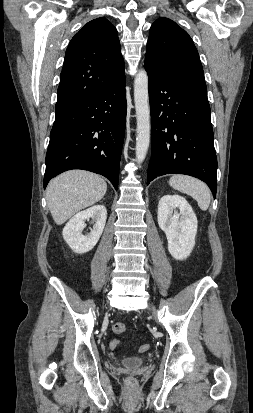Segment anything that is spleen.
I'll return each instance as SVG.
<instances>
[{"mask_svg": "<svg viewBox=\"0 0 253 413\" xmlns=\"http://www.w3.org/2000/svg\"><path fill=\"white\" fill-rule=\"evenodd\" d=\"M169 184L175 190L193 197L201 210L206 211L209 208L211 200L210 189L201 180L187 175L176 174L170 178Z\"/></svg>", "mask_w": 253, "mask_h": 413, "instance_id": "obj_1", "label": "spleen"}]
</instances>
